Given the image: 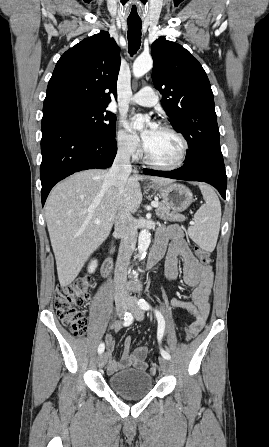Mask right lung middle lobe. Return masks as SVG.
<instances>
[{"mask_svg": "<svg viewBox=\"0 0 269 447\" xmlns=\"http://www.w3.org/2000/svg\"><path fill=\"white\" fill-rule=\"evenodd\" d=\"M103 106H64L50 114H64L85 130L100 136H115L116 116Z\"/></svg>", "mask_w": 269, "mask_h": 447, "instance_id": "right-lung-middle-lobe-1", "label": "right lung middle lobe"}]
</instances>
